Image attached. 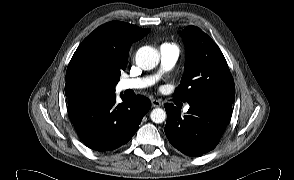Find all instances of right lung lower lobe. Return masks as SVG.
<instances>
[{"instance_id": "right-lung-lower-lobe-1", "label": "right lung lower lobe", "mask_w": 294, "mask_h": 180, "mask_svg": "<svg viewBox=\"0 0 294 180\" xmlns=\"http://www.w3.org/2000/svg\"><path fill=\"white\" fill-rule=\"evenodd\" d=\"M116 102L115 92L69 103L68 115L85 145L96 151H109L126 144L149 111L148 98L137 95Z\"/></svg>"}]
</instances>
